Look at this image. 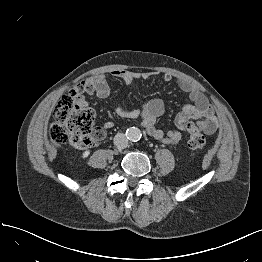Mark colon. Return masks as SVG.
<instances>
[{
    "label": "colon",
    "instance_id": "obj_1",
    "mask_svg": "<svg viewBox=\"0 0 262 262\" xmlns=\"http://www.w3.org/2000/svg\"><path fill=\"white\" fill-rule=\"evenodd\" d=\"M95 111L84 103L76 93L70 92L61 97L48 126L50 143L59 147L68 142L74 148L83 149L93 142ZM189 135L188 146L193 150H203L206 140L193 122L185 126ZM95 134V133H94Z\"/></svg>",
    "mask_w": 262,
    "mask_h": 262
}]
</instances>
